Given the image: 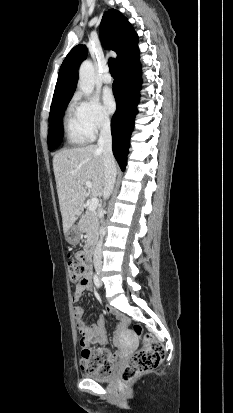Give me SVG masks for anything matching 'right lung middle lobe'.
Here are the masks:
<instances>
[{"label":"right lung middle lobe","mask_w":233,"mask_h":413,"mask_svg":"<svg viewBox=\"0 0 233 413\" xmlns=\"http://www.w3.org/2000/svg\"><path fill=\"white\" fill-rule=\"evenodd\" d=\"M71 98L64 99L51 105L49 115L48 148L50 151L57 148L63 139L62 120L64 111Z\"/></svg>","instance_id":"dd1d6c3e"}]
</instances>
